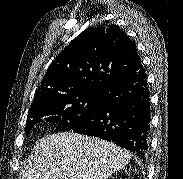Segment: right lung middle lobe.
Masks as SVG:
<instances>
[{
  "mask_svg": "<svg viewBox=\"0 0 183 179\" xmlns=\"http://www.w3.org/2000/svg\"><path fill=\"white\" fill-rule=\"evenodd\" d=\"M100 102V94H84L75 97H57L31 106L26 121V134L41 118L51 115L45 120L58 122L56 130H75L91 120L96 114Z\"/></svg>",
  "mask_w": 183,
  "mask_h": 179,
  "instance_id": "right-lung-middle-lobe-1",
  "label": "right lung middle lobe"
}]
</instances>
